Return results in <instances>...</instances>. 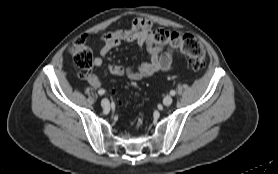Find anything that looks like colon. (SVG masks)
Returning a JSON list of instances; mask_svg holds the SVG:
<instances>
[{"instance_id":"5ec220e1","label":"colon","mask_w":278,"mask_h":174,"mask_svg":"<svg viewBox=\"0 0 278 174\" xmlns=\"http://www.w3.org/2000/svg\"><path fill=\"white\" fill-rule=\"evenodd\" d=\"M151 38L157 44L170 46L188 56L192 67L196 70L201 69L205 65V48L196 37L190 34L155 29L151 33ZM70 54L75 65L80 69L88 70L91 68L93 55L86 43L85 37L75 39L70 47Z\"/></svg>"}]
</instances>
